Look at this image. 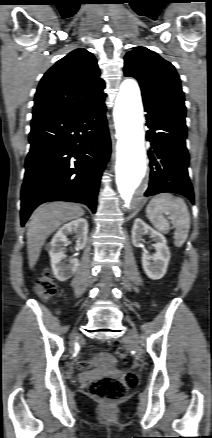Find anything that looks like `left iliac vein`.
Listing matches in <instances>:
<instances>
[{
  "label": "left iliac vein",
  "mask_w": 212,
  "mask_h": 438,
  "mask_svg": "<svg viewBox=\"0 0 212 438\" xmlns=\"http://www.w3.org/2000/svg\"><path fill=\"white\" fill-rule=\"evenodd\" d=\"M135 338H136V332H135L134 330H131V331L128 333V335H127V337L125 338V340H126V341H129V342H133V341L135 340Z\"/></svg>",
  "instance_id": "left-iliac-vein-1"
}]
</instances>
